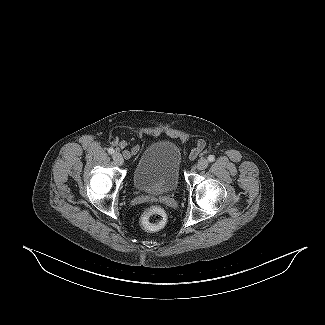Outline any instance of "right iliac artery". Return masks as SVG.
Wrapping results in <instances>:
<instances>
[{
	"instance_id": "82829eb1",
	"label": "right iliac artery",
	"mask_w": 325,
	"mask_h": 325,
	"mask_svg": "<svg viewBox=\"0 0 325 325\" xmlns=\"http://www.w3.org/2000/svg\"><path fill=\"white\" fill-rule=\"evenodd\" d=\"M114 152H115V150L113 148L108 149V153L113 154Z\"/></svg>"
}]
</instances>
